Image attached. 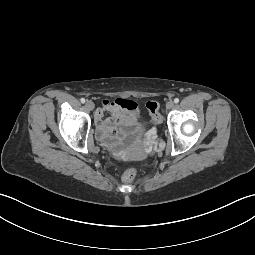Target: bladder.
Here are the masks:
<instances>
[{
    "instance_id": "1",
    "label": "bladder",
    "mask_w": 255,
    "mask_h": 255,
    "mask_svg": "<svg viewBox=\"0 0 255 255\" xmlns=\"http://www.w3.org/2000/svg\"><path fill=\"white\" fill-rule=\"evenodd\" d=\"M146 126V121L144 118H140V120L138 121V124L136 126V130H135V134H139L141 132L144 131Z\"/></svg>"
}]
</instances>
